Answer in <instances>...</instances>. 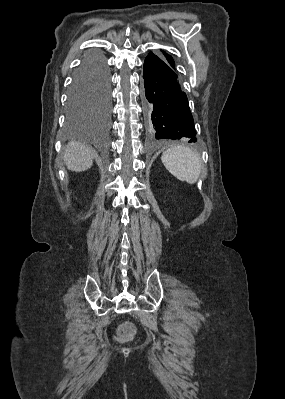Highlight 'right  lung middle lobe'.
Here are the masks:
<instances>
[{
    "instance_id": "1",
    "label": "right lung middle lobe",
    "mask_w": 285,
    "mask_h": 399,
    "mask_svg": "<svg viewBox=\"0 0 285 399\" xmlns=\"http://www.w3.org/2000/svg\"><path fill=\"white\" fill-rule=\"evenodd\" d=\"M110 111L109 72L102 54H89L76 72L68 96L67 120L74 127L90 114Z\"/></svg>"
}]
</instances>
